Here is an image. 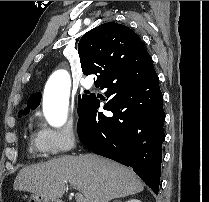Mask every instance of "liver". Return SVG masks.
I'll return each instance as SVG.
<instances>
[{
    "instance_id": "liver-1",
    "label": "liver",
    "mask_w": 209,
    "mask_h": 202,
    "mask_svg": "<svg viewBox=\"0 0 209 202\" xmlns=\"http://www.w3.org/2000/svg\"><path fill=\"white\" fill-rule=\"evenodd\" d=\"M67 181L84 195L86 202H108L144 189L131 169L93 154L65 155L24 167L13 188L59 199Z\"/></svg>"
}]
</instances>
